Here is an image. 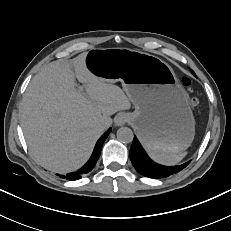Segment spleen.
Segmentation results:
<instances>
[{
    "mask_svg": "<svg viewBox=\"0 0 231 231\" xmlns=\"http://www.w3.org/2000/svg\"><path fill=\"white\" fill-rule=\"evenodd\" d=\"M186 154V152L179 154H164L150 152V157L160 164L174 166L177 165L186 156Z\"/></svg>",
    "mask_w": 231,
    "mask_h": 231,
    "instance_id": "3e777b00",
    "label": "spleen"
}]
</instances>
